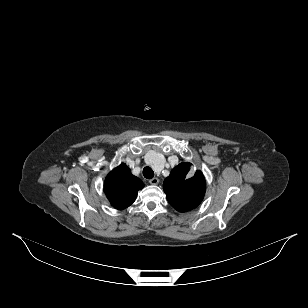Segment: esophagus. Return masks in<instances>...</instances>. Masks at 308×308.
I'll return each instance as SVG.
<instances>
[{
	"instance_id": "1",
	"label": "esophagus",
	"mask_w": 308,
	"mask_h": 308,
	"mask_svg": "<svg viewBox=\"0 0 308 308\" xmlns=\"http://www.w3.org/2000/svg\"><path fill=\"white\" fill-rule=\"evenodd\" d=\"M149 183L152 184V185H157L159 183V179L154 177V178L149 180Z\"/></svg>"
}]
</instances>
